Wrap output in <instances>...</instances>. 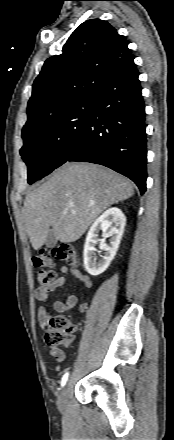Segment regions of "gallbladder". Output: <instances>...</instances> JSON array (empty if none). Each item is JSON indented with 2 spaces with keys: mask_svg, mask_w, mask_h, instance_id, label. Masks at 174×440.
Masks as SVG:
<instances>
[{
  "mask_svg": "<svg viewBox=\"0 0 174 440\" xmlns=\"http://www.w3.org/2000/svg\"><path fill=\"white\" fill-rule=\"evenodd\" d=\"M57 243V238L55 236V233L53 229L51 228L46 236L45 245L47 247H53Z\"/></svg>",
  "mask_w": 174,
  "mask_h": 440,
  "instance_id": "1",
  "label": "gallbladder"
}]
</instances>
